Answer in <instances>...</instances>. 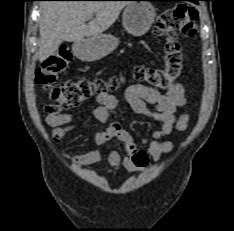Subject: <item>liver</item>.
Listing matches in <instances>:
<instances>
[{
	"instance_id": "obj_1",
	"label": "liver",
	"mask_w": 234,
	"mask_h": 231,
	"mask_svg": "<svg viewBox=\"0 0 234 231\" xmlns=\"http://www.w3.org/2000/svg\"><path fill=\"white\" fill-rule=\"evenodd\" d=\"M127 4L126 1L43 2L39 23V61L53 55L63 41L77 42L106 31ZM94 14L96 17L85 24Z\"/></svg>"
}]
</instances>
